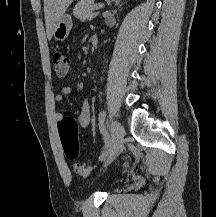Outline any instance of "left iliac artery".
I'll return each mask as SVG.
<instances>
[{
    "label": "left iliac artery",
    "mask_w": 216,
    "mask_h": 217,
    "mask_svg": "<svg viewBox=\"0 0 216 217\" xmlns=\"http://www.w3.org/2000/svg\"><path fill=\"white\" fill-rule=\"evenodd\" d=\"M105 117H106V113L103 110V111H101L99 113V127H100V130H101V133L104 136V143H105L104 149H103L101 155L99 156V160H101V161L104 160L107 157V155L109 153V150L111 148V140H110V137H109V135H108V133H107L105 127H104Z\"/></svg>",
    "instance_id": "obj_1"
}]
</instances>
